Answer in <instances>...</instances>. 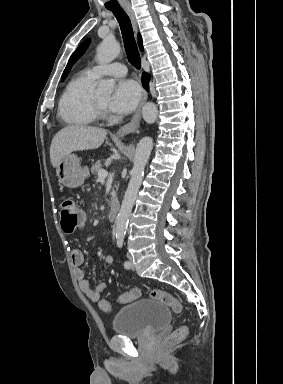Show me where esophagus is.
<instances>
[{
  "instance_id": "obj_1",
  "label": "esophagus",
  "mask_w": 283,
  "mask_h": 384,
  "mask_svg": "<svg viewBox=\"0 0 283 384\" xmlns=\"http://www.w3.org/2000/svg\"><path fill=\"white\" fill-rule=\"evenodd\" d=\"M124 10L126 11V13L128 14V17L131 20L134 31L137 33L138 31L137 20H136L133 9L131 8V6H124ZM147 98H148V94L146 90H143L139 105L132 119L130 120V122L123 125V127H121L118 130L117 135L124 136V135L130 134L131 132H135L138 129L141 121V110Z\"/></svg>"
}]
</instances>
